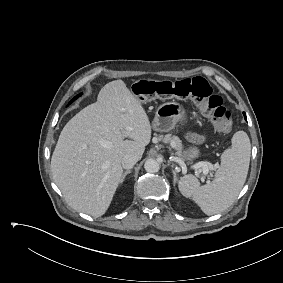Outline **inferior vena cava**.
Masks as SVG:
<instances>
[{"instance_id":"inferior-vena-cava-1","label":"inferior vena cava","mask_w":283,"mask_h":283,"mask_svg":"<svg viewBox=\"0 0 283 283\" xmlns=\"http://www.w3.org/2000/svg\"><path fill=\"white\" fill-rule=\"evenodd\" d=\"M139 160V157L136 154L130 153V154H126L123 158H122V166L125 169H130L132 168L137 161Z\"/></svg>"}]
</instances>
